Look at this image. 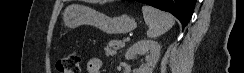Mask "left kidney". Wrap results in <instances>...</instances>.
I'll return each instance as SVG.
<instances>
[{"mask_svg": "<svg viewBox=\"0 0 244 73\" xmlns=\"http://www.w3.org/2000/svg\"><path fill=\"white\" fill-rule=\"evenodd\" d=\"M160 51L161 46L159 43L153 40L142 39L127 50L125 58L132 60L138 54H146V63L134 70V73H152L159 60Z\"/></svg>", "mask_w": 244, "mask_h": 73, "instance_id": "5707ae66", "label": "left kidney"}]
</instances>
